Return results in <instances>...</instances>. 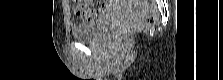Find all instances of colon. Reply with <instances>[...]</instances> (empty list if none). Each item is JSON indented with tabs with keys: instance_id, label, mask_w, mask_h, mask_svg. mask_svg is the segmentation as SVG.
I'll list each match as a JSON object with an SVG mask.
<instances>
[{
	"instance_id": "colon-1",
	"label": "colon",
	"mask_w": 223,
	"mask_h": 80,
	"mask_svg": "<svg viewBox=\"0 0 223 80\" xmlns=\"http://www.w3.org/2000/svg\"><path fill=\"white\" fill-rule=\"evenodd\" d=\"M73 2H74V4L83 7V4L86 1L83 2L81 0H74ZM155 22H156L155 14L154 13H150L142 21H140L139 23L126 24L123 27H121L120 29H118L115 32V34H114V39L117 40V39L123 38L126 35H128L129 33H131L132 31H134L137 27L152 25Z\"/></svg>"
}]
</instances>
